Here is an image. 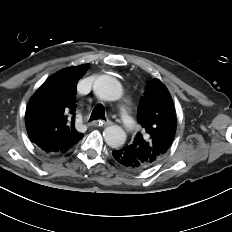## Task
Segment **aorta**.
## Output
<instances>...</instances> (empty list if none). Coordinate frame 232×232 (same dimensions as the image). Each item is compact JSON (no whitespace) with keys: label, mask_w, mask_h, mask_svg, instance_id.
<instances>
[{"label":"aorta","mask_w":232,"mask_h":232,"mask_svg":"<svg viewBox=\"0 0 232 232\" xmlns=\"http://www.w3.org/2000/svg\"><path fill=\"white\" fill-rule=\"evenodd\" d=\"M94 94L105 101H117L123 95V89L117 79L109 75L99 77L93 85ZM105 142L112 148L122 146L126 141V132L118 125L105 128Z\"/></svg>","instance_id":"aorta-1"}]
</instances>
